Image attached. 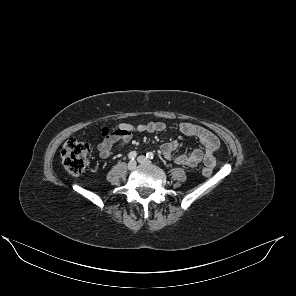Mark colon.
I'll list each match as a JSON object with an SVG mask.
<instances>
[{
	"mask_svg": "<svg viewBox=\"0 0 296 296\" xmlns=\"http://www.w3.org/2000/svg\"><path fill=\"white\" fill-rule=\"evenodd\" d=\"M90 153L91 147L88 143L70 138L61 151L64 168L71 175H80L88 164ZM212 172L213 167L210 165H205L202 169L205 176H210Z\"/></svg>",
	"mask_w": 296,
	"mask_h": 296,
	"instance_id": "colon-1",
	"label": "colon"
}]
</instances>
